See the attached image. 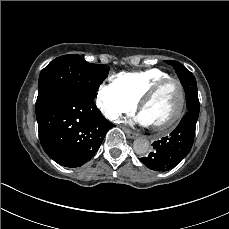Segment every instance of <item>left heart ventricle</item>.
Returning a JSON list of instances; mask_svg holds the SVG:
<instances>
[{"label": "left heart ventricle", "instance_id": "left-heart-ventricle-1", "mask_svg": "<svg viewBox=\"0 0 229 229\" xmlns=\"http://www.w3.org/2000/svg\"><path fill=\"white\" fill-rule=\"evenodd\" d=\"M177 82H169L160 88L146 103L141 115L147 121L148 125L153 128H164V122L172 113L175 105L173 86ZM182 90V89H181ZM184 101V96H183ZM184 108V104H183ZM182 108V111H183ZM181 111V113H182Z\"/></svg>", "mask_w": 229, "mask_h": 229}]
</instances>
